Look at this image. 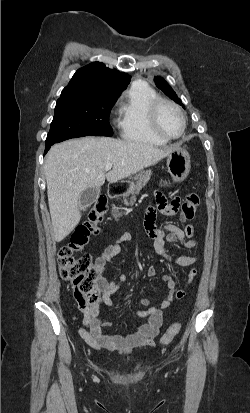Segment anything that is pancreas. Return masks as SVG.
Returning a JSON list of instances; mask_svg holds the SVG:
<instances>
[{"mask_svg": "<svg viewBox=\"0 0 250 413\" xmlns=\"http://www.w3.org/2000/svg\"><path fill=\"white\" fill-rule=\"evenodd\" d=\"M151 174L152 172L150 170L141 171L132 178L135 181V183H133V187L129 192V195H131L130 201L127 202V200L124 199V204L128 205L133 204L135 202V195L138 194L139 191L147 184ZM112 215L117 219L118 217L122 216V213L119 212V208L113 206Z\"/></svg>", "mask_w": 250, "mask_h": 413, "instance_id": "cf45deb5", "label": "pancreas"}]
</instances>
